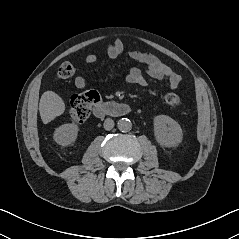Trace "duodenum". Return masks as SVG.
Here are the masks:
<instances>
[{"instance_id":"obj_1","label":"duodenum","mask_w":239,"mask_h":239,"mask_svg":"<svg viewBox=\"0 0 239 239\" xmlns=\"http://www.w3.org/2000/svg\"><path fill=\"white\" fill-rule=\"evenodd\" d=\"M94 115L97 118H103L106 115L125 116L131 113L132 108L126 103L107 102L101 103L94 107Z\"/></svg>"}]
</instances>
